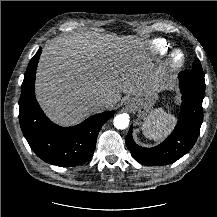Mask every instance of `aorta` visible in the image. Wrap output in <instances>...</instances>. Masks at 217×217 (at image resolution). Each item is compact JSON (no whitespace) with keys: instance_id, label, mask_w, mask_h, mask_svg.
Wrapping results in <instances>:
<instances>
[{"instance_id":"aorta-1","label":"aorta","mask_w":217,"mask_h":217,"mask_svg":"<svg viewBox=\"0 0 217 217\" xmlns=\"http://www.w3.org/2000/svg\"><path fill=\"white\" fill-rule=\"evenodd\" d=\"M129 125V116L127 114H120L114 118V126L117 129H126Z\"/></svg>"}]
</instances>
